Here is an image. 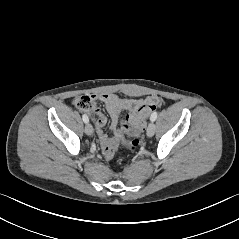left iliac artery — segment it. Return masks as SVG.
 I'll list each match as a JSON object with an SVG mask.
<instances>
[{
	"mask_svg": "<svg viewBox=\"0 0 239 239\" xmlns=\"http://www.w3.org/2000/svg\"><path fill=\"white\" fill-rule=\"evenodd\" d=\"M157 115H158L157 112H153L152 115H151V117H150V120H151V121H155L156 118H157Z\"/></svg>",
	"mask_w": 239,
	"mask_h": 239,
	"instance_id": "1",
	"label": "left iliac artery"
}]
</instances>
